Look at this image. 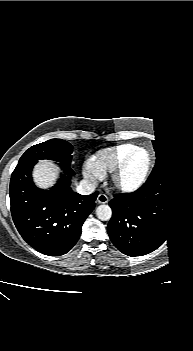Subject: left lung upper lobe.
Wrapping results in <instances>:
<instances>
[{
	"instance_id": "1",
	"label": "left lung upper lobe",
	"mask_w": 193,
	"mask_h": 351,
	"mask_svg": "<svg viewBox=\"0 0 193 351\" xmlns=\"http://www.w3.org/2000/svg\"><path fill=\"white\" fill-rule=\"evenodd\" d=\"M152 144L156 159L147 179H152L172 171H180L176 156L167 146L160 143L156 137L155 140H152Z\"/></svg>"
}]
</instances>
